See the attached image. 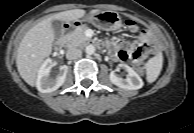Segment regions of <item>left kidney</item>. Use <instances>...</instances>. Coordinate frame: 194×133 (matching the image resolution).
Masks as SVG:
<instances>
[{
    "label": "left kidney",
    "instance_id": "5707ae66",
    "mask_svg": "<svg viewBox=\"0 0 194 133\" xmlns=\"http://www.w3.org/2000/svg\"><path fill=\"white\" fill-rule=\"evenodd\" d=\"M119 67L125 70L127 76L124 79L118 74H116L115 71H112L110 73V81L114 85L125 90H137L142 88L143 86L142 79L130 66L126 64H120Z\"/></svg>",
    "mask_w": 194,
    "mask_h": 133
}]
</instances>
